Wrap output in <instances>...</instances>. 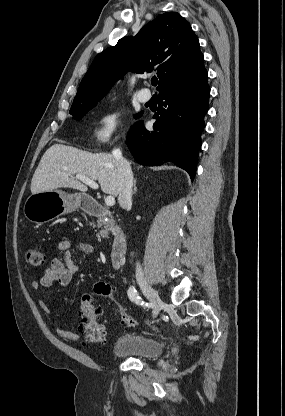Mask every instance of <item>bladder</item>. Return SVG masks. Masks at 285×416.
<instances>
[{
  "instance_id": "bladder-1",
  "label": "bladder",
  "mask_w": 285,
  "mask_h": 416,
  "mask_svg": "<svg viewBox=\"0 0 285 416\" xmlns=\"http://www.w3.org/2000/svg\"><path fill=\"white\" fill-rule=\"evenodd\" d=\"M162 352L163 344L156 338L131 332L118 336L112 346L113 355L138 360L157 359Z\"/></svg>"
}]
</instances>
